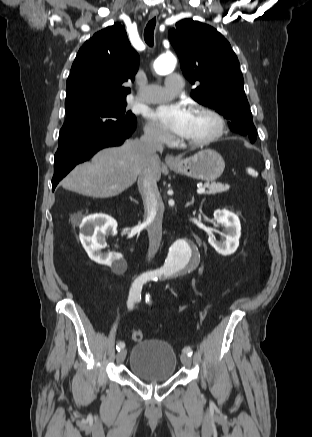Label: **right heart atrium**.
I'll list each match as a JSON object with an SVG mask.
<instances>
[{
  "instance_id": "1",
  "label": "right heart atrium",
  "mask_w": 312,
  "mask_h": 437,
  "mask_svg": "<svg viewBox=\"0 0 312 437\" xmlns=\"http://www.w3.org/2000/svg\"><path fill=\"white\" fill-rule=\"evenodd\" d=\"M145 136L157 144H165L170 141V136L153 122H148L144 129Z\"/></svg>"
}]
</instances>
